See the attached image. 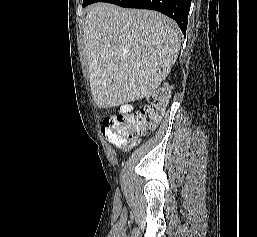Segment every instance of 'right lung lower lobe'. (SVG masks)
I'll use <instances>...</instances> for the list:
<instances>
[{
  "instance_id": "1",
  "label": "right lung lower lobe",
  "mask_w": 257,
  "mask_h": 237,
  "mask_svg": "<svg viewBox=\"0 0 257 237\" xmlns=\"http://www.w3.org/2000/svg\"><path fill=\"white\" fill-rule=\"evenodd\" d=\"M127 8L151 9L174 19L185 34L191 0H103Z\"/></svg>"
}]
</instances>
